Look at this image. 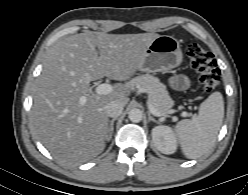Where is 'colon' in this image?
<instances>
[{"mask_svg":"<svg viewBox=\"0 0 248 195\" xmlns=\"http://www.w3.org/2000/svg\"><path fill=\"white\" fill-rule=\"evenodd\" d=\"M187 56L190 65L199 74L204 92L213 91L220 80V70L217 67L214 55L198 44H191L187 48Z\"/></svg>","mask_w":248,"mask_h":195,"instance_id":"5ec220e1","label":"colon"}]
</instances>
